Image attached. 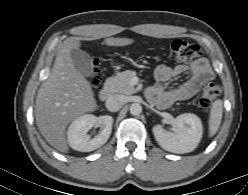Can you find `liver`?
<instances>
[{
	"label": "liver",
	"mask_w": 248,
	"mask_h": 195,
	"mask_svg": "<svg viewBox=\"0 0 248 195\" xmlns=\"http://www.w3.org/2000/svg\"><path fill=\"white\" fill-rule=\"evenodd\" d=\"M131 38H106L107 46H127ZM78 37L66 39L60 46L49 77L42 83L36 96V124L45 140L60 152H68L65 136L68 124L76 117L96 108L92 88L75 68L70 51L79 49Z\"/></svg>",
	"instance_id": "liver-1"
}]
</instances>
